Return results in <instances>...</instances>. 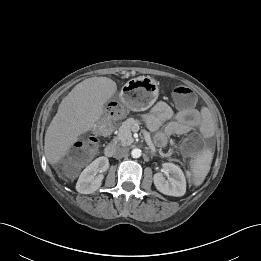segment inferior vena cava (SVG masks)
Here are the masks:
<instances>
[{
	"instance_id": "obj_1",
	"label": "inferior vena cava",
	"mask_w": 261,
	"mask_h": 261,
	"mask_svg": "<svg viewBox=\"0 0 261 261\" xmlns=\"http://www.w3.org/2000/svg\"><path fill=\"white\" fill-rule=\"evenodd\" d=\"M128 153H129V148H127V147H116L115 150H114L113 157L116 158V159H120V158L128 156Z\"/></svg>"
}]
</instances>
